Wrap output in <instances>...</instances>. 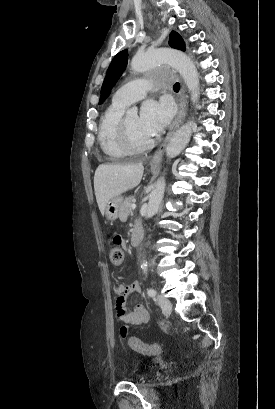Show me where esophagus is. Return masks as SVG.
Instances as JSON below:
<instances>
[{"label":"esophagus","instance_id":"obj_1","mask_svg":"<svg viewBox=\"0 0 275 409\" xmlns=\"http://www.w3.org/2000/svg\"><path fill=\"white\" fill-rule=\"evenodd\" d=\"M186 115V92L184 86L181 88L180 91V99H179V113L173 122L172 126L170 127L165 139L163 140L162 144L154 154L153 160L161 159L164 150L171 139L172 135H174L175 131L178 129L179 125L182 123L184 117Z\"/></svg>","mask_w":275,"mask_h":409}]
</instances>
